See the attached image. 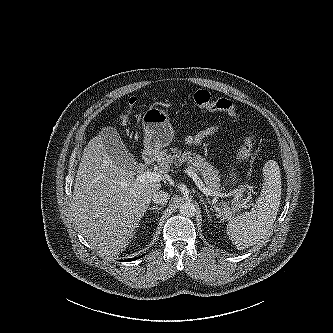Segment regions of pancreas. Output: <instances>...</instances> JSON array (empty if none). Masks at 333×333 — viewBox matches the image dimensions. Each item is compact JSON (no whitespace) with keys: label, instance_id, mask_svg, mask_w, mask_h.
I'll use <instances>...</instances> for the list:
<instances>
[{"label":"pancreas","instance_id":"1","mask_svg":"<svg viewBox=\"0 0 333 333\" xmlns=\"http://www.w3.org/2000/svg\"><path fill=\"white\" fill-rule=\"evenodd\" d=\"M172 153H168L167 150H163L157 154L158 167L163 171L167 172L170 170L172 164L179 162H187L201 174L206 186L213 191H221V184L219 171L214 168L210 163H208L204 157L199 154L192 153L190 151H184L177 148H171ZM225 213L230 214L229 208L224 205Z\"/></svg>","mask_w":333,"mask_h":333}]
</instances>
